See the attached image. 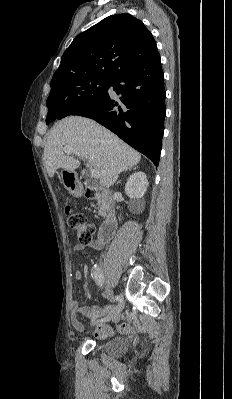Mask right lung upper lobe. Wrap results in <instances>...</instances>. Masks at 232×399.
I'll list each match as a JSON object with an SVG mask.
<instances>
[{
    "label": "right lung upper lobe",
    "mask_w": 232,
    "mask_h": 399,
    "mask_svg": "<svg viewBox=\"0 0 232 399\" xmlns=\"http://www.w3.org/2000/svg\"><path fill=\"white\" fill-rule=\"evenodd\" d=\"M155 51L156 42L141 20L130 14L111 15L74 38L51 80L50 95L110 79Z\"/></svg>",
    "instance_id": "right-lung-upper-lobe-1"
}]
</instances>
